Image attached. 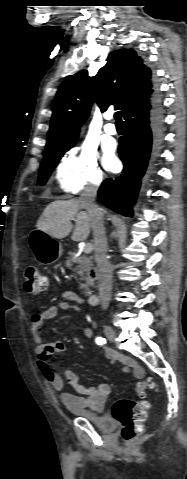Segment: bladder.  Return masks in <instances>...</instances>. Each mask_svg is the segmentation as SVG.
Masks as SVG:
<instances>
[{
	"label": "bladder",
	"instance_id": "bladder-1",
	"mask_svg": "<svg viewBox=\"0 0 187 479\" xmlns=\"http://www.w3.org/2000/svg\"><path fill=\"white\" fill-rule=\"evenodd\" d=\"M78 415L89 420L102 432H110L115 427V422L106 416L96 415L87 411H78Z\"/></svg>",
	"mask_w": 187,
	"mask_h": 479
}]
</instances>
